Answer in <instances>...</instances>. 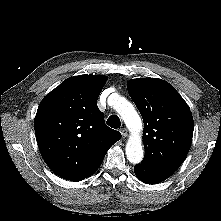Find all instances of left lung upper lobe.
<instances>
[{
    "instance_id": "1",
    "label": "left lung upper lobe",
    "mask_w": 221,
    "mask_h": 221,
    "mask_svg": "<svg viewBox=\"0 0 221 221\" xmlns=\"http://www.w3.org/2000/svg\"><path fill=\"white\" fill-rule=\"evenodd\" d=\"M127 87L144 122L142 162L174 173L187 156L192 142L194 124L190 108L164 80L134 79Z\"/></svg>"
}]
</instances>
